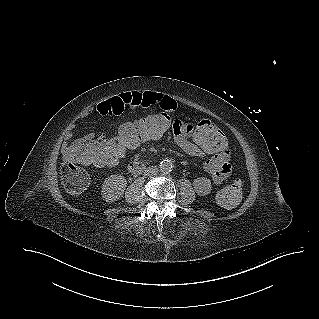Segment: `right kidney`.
I'll return each mask as SVG.
<instances>
[{
  "label": "right kidney",
  "mask_w": 319,
  "mask_h": 319,
  "mask_svg": "<svg viewBox=\"0 0 319 319\" xmlns=\"http://www.w3.org/2000/svg\"><path fill=\"white\" fill-rule=\"evenodd\" d=\"M127 186V181L122 175H111L106 178L102 185V198L106 202H115L120 199Z\"/></svg>",
  "instance_id": "obj_1"
}]
</instances>
